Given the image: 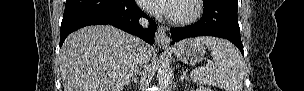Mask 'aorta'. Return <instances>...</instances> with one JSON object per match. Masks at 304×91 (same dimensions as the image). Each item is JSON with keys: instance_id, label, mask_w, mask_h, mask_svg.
Wrapping results in <instances>:
<instances>
[{"instance_id": "1", "label": "aorta", "mask_w": 304, "mask_h": 91, "mask_svg": "<svg viewBox=\"0 0 304 91\" xmlns=\"http://www.w3.org/2000/svg\"><path fill=\"white\" fill-rule=\"evenodd\" d=\"M157 78L159 86L162 89H167L172 79V72L168 59L164 58L159 62Z\"/></svg>"}]
</instances>
